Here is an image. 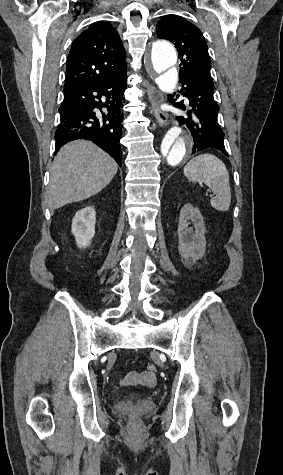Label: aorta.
<instances>
[{"label": "aorta", "instance_id": "1", "mask_svg": "<svg viewBox=\"0 0 283 475\" xmlns=\"http://www.w3.org/2000/svg\"><path fill=\"white\" fill-rule=\"evenodd\" d=\"M177 62V53L167 41H156L152 45L148 65H152L158 74L156 82L165 93H172L177 85L178 74L172 67ZM193 140L190 134L180 126L171 127L161 140L158 148L159 167L172 168L180 165L191 155Z\"/></svg>", "mask_w": 283, "mask_h": 475}]
</instances>
